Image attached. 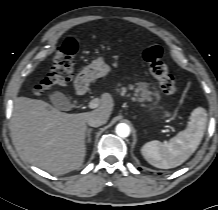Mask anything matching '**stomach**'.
<instances>
[{
    "instance_id": "0dacf381",
    "label": "stomach",
    "mask_w": 218,
    "mask_h": 210,
    "mask_svg": "<svg viewBox=\"0 0 218 210\" xmlns=\"http://www.w3.org/2000/svg\"><path fill=\"white\" fill-rule=\"evenodd\" d=\"M110 66L106 64L102 57H99L86 66L76 77L74 86L77 91H81L95 79L103 77L110 72Z\"/></svg>"
}]
</instances>
